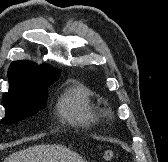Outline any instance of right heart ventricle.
<instances>
[{"label": "right heart ventricle", "instance_id": "e07e8e85", "mask_svg": "<svg viewBox=\"0 0 168 162\" xmlns=\"http://www.w3.org/2000/svg\"><path fill=\"white\" fill-rule=\"evenodd\" d=\"M58 110L63 119L82 127L91 126L100 118L99 107L83 85L69 88L60 99Z\"/></svg>", "mask_w": 168, "mask_h": 162}]
</instances>
